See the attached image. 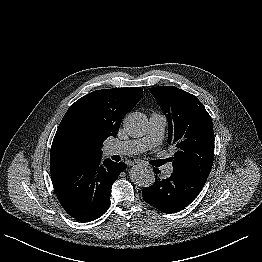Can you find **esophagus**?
Wrapping results in <instances>:
<instances>
[{
    "label": "esophagus",
    "mask_w": 262,
    "mask_h": 262,
    "mask_svg": "<svg viewBox=\"0 0 262 262\" xmlns=\"http://www.w3.org/2000/svg\"><path fill=\"white\" fill-rule=\"evenodd\" d=\"M134 167H140V166H144L145 168H150V167H147V165L143 164L142 162H133L132 164Z\"/></svg>",
    "instance_id": "esophagus-1"
}]
</instances>
